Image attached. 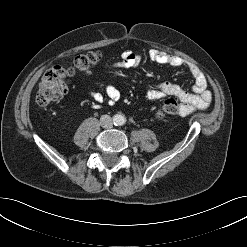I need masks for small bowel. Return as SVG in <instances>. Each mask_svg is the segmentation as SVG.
<instances>
[{"instance_id":"small-bowel-1","label":"small bowel","mask_w":247,"mask_h":247,"mask_svg":"<svg viewBox=\"0 0 247 247\" xmlns=\"http://www.w3.org/2000/svg\"><path fill=\"white\" fill-rule=\"evenodd\" d=\"M150 60L157 64L168 65L172 67H185L188 69L194 84L191 92H187L178 85L171 82H161L149 87L147 97L153 100H159L166 96H174L181 103L179 114L187 116L197 109H205L209 106L212 95L208 90L206 75L195 65L186 62L184 59L167 53L159 49H150L148 51ZM142 56L132 51H125L121 56V61L116 63L115 67L137 68L142 62ZM105 95L112 101L120 98V91L113 85H107L104 89ZM89 96L96 102H102L104 95L97 91H92Z\"/></svg>"}]
</instances>
